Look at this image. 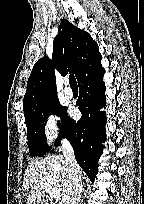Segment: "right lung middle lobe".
I'll return each mask as SVG.
<instances>
[{"label": "right lung middle lobe", "instance_id": "1", "mask_svg": "<svg viewBox=\"0 0 144 204\" xmlns=\"http://www.w3.org/2000/svg\"><path fill=\"white\" fill-rule=\"evenodd\" d=\"M50 115H58L63 123L67 116V109L60 105L58 99L44 105L29 117L25 118L29 152L32 157L43 156L50 149L47 146L44 122ZM60 134L57 138L59 139Z\"/></svg>", "mask_w": 144, "mask_h": 204}]
</instances>
